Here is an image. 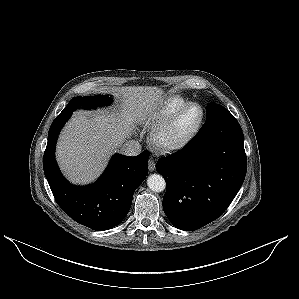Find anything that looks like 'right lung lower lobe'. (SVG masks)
<instances>
[{
	"label": "right lung lower lobe",
	"instance_id": "right-lung-lower-lobe-1",
	"mask_svg": "<svg viewBox=\"0 0 299 299\" xmlns=\"http://www.w3.org/2000/svg\"><path fill=\"white\" fill-rule=\"evenodd\" d=\"M73 111H62L51 124L44 153V173L60 208L76 222L97 231L117 226L127 215L135 189L148 172V153L115 155L99 180L88 187L70 184L55 160L61 128Z\"/></svg>",
	"mask_w": 299,
	"mask_h": 299
}]
</instances>
